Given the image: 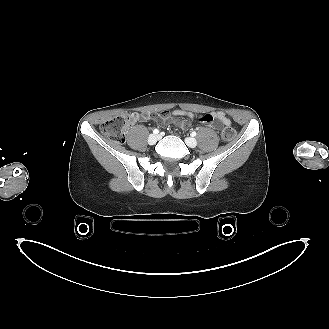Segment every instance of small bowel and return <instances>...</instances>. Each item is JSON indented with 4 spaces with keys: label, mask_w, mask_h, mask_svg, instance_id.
I'll use <instances>...</instances> for the list:
<instances>
[{
    "label": "small bowel",
    "mask_w": 329,
    "mask_h": 329,
    "mask_svg": "<svg viewBox=\"0 0 329 329\" xmlns=\"http://www.w3.org/2000/svg\"><path fill=\"white\" fill-rule=\"evenodd\" d=\"M134 120L139 119L141 121L147 120L149 117L147 114H133ZM156 117L162 122L169 121L171 119H177L178 123L183 128H188L191 125V121L195 118V115L192 112H187L178 108H171L159 111L156 113ZM201 122L204 124L216 125L220 123L225 127H230L231 121L223 112H212L206 115H203L200 118Z\"/></svg>",
    "instance_id": "c3829d8e"
}]
</instances>
